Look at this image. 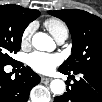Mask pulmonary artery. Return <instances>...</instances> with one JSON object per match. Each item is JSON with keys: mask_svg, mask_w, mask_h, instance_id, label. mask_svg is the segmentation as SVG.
Here are the masks:
<instances>
[{"mask_svg": "<svg viewBox=\"0 0 102 102\" xmlns=\"http://www.w3.org/2000/svg\"><path fill=\"white\" fill-rule=\"evenodd\" d=\"M67 39V37L65 36H61L60 38H58L56 41L58 44H63L65 42V40Z\"/></svg>", "mask_w": 102, "mask_h": 102, "instance_id": "pulmonary-artery-1", "label": "pulmonary artery"}]
</instances>
